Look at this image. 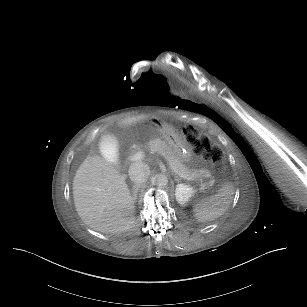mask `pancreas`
Listing matches in <instances>:
<instances>
[{
    "mask_svg": "<svg viewBox=\"0 0 307 307\" xmlns=\"http://www.w3.org/2000/svg\"><path fill=\"white\" fill-rule=\"evenodd\" d=\"M150 150L152 153L159 154L166 159L170 161V163L173 166V169L175 171H178L180 175H184L186 179H191V180H200L202 177H206L208 175V172L206 170H198L196 171H191L186 172L184 168H180V166L177 163V159L171 155L172 151L170 149H167V143L161 139H156L150 142ZM169 156V157H168Z\"/></svg>",
    "mask_w": 307,
    "mask_h": 307,
    "instance_id": "1",
    "label": "pancreas"
}]
</instances>
